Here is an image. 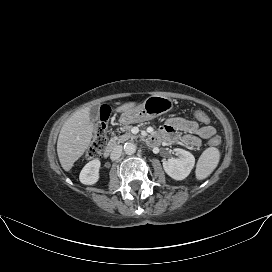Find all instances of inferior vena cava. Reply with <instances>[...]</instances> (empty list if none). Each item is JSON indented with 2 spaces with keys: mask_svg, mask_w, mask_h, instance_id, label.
<instances>
[{
  "mask_svg": "<svg viewBox=\"0 0 272 272\" xmlns=\"http://www.w3.org/2000/svg\"><path fill=\"white\" fill-rule=\"evenodd\" d=\"M122 154V146L121 145H116L113 149L112 152L110 154V159L111 160H117L118 158H120Z\"/></svg>",
  "mask_w": 272,
  "mask_h": 272,
  "instance_id": "obj_1",
  "label": "inferior vena cava"
}]
</instances>
